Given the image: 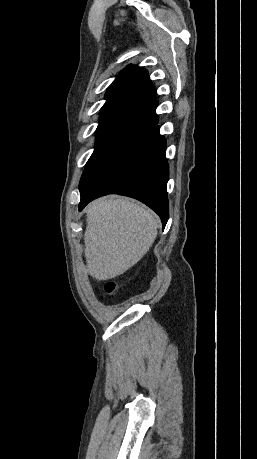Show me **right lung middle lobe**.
<instances>
[{
  "instance_id": "1",
  "label": "right lung middle lobe",
  "mask_w": 257,
  "mask_h": 459,
  "mask_svg": "<svg viewBox=\"0 0 257 459\" xmlns=\"http://www.w3.org/2000/svg\"><path fill=\"white\" fill-rule=\"evenodd\" d=\"M132 115V112L123 110L100 112L99 125L96 130L95 150L89 158L86 166L104 151L118 129Z\"/></svg>"
}]
</instances>
